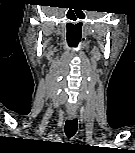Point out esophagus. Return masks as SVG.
Returning a JSON list of instances; mask_svg holds the SVG:
<instances>
[{
  "instance_id": "34e87169",
  "label": "esophagus",
  "mask_w": 135,
  "mask_h": 153,
  "mask_svg": "<svg viewBox=\"0 0 135 153\" xmlns=\"http://www.w3.org/2000/svg\"><path fill=\"white\" fill-rule=\"evenodd\" d=\"M75 117H76V113H73V112L68 113L69 119H74Z\"/></svg>"
}]
</instances>
